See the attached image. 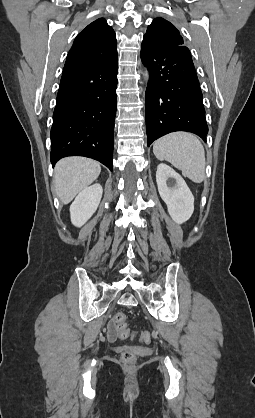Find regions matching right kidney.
I'll return each instance as SVG.
<instances>
[{"instance_id":"1","label":"right kidney","mask_w":255,"mask_h":418,"mask_svg":"<svg viewBox=\"0 0 255 418\" xmlns=\"http://www.w3.org/2000/svg\"><path fill=\"white\" fill-rule=\"evenodd\" d=\"M103 189L98 183L83 189L70 206L71 222L76 227L84 225L97 210Z\"/></svg>"}]
</instances>
